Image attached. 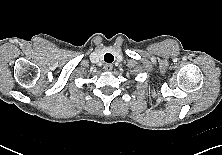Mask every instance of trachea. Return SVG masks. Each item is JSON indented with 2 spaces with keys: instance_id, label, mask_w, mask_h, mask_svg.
<instances>
[{
  "instance_id": "obj_1",
  "label": "trachea",
  "mask_w": 222,
  "mask_h": 155,
  "mask_svg": "<svg viewBox=\"0 0 222 155\" xmlns=\"http://www.w3.org/2000/svg\"><path fill=\"white\" fill-rule=\"evenodd\" d=\"M104 60L107 63H112L114 61V56L111 53H106L104 55Z\"/></svg>"
}]
</instances>
